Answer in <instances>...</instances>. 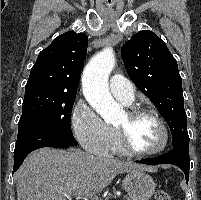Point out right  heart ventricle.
I'll use <instances>...</instances> for the list:
<instances>
[{
  "label": "right heart ventricle",
  "instance_id": "obj_1",
  "mask_svg": "<svg viewBox=\"0 0 201 200\" xmlns=\"http://www.w3.org/2000/svg\"><path fill=\"white\" fill-rule=\"evenodd\" d=\"M123 103L128 104L125 102H123ZM112 132H113V135H112V140H111V144H110L109 149L111 150V152H113L115 154H119V155L126 154L120 146L119 138H118V134H117L116 130L112 129Z\"/></svg>",
  "mask_w": 201,
  "mask_h": 200
}]
</instances>
